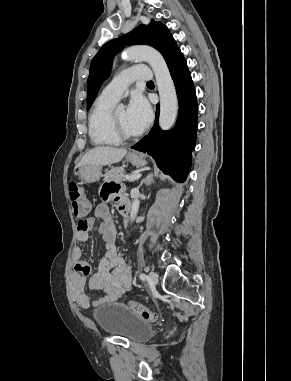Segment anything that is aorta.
<instances>
[{"label":"aorta","instance_id":"obj_1","mask_svg":"<svg viewBox=\"0 0 291 381\" xmlns=\"http://www.w3.org/2000/svg\"><path fill=\"white\" fill-rule=\"evenodd\" d=\"M122 58L128 61H145L152 68L160 96L159 126L162 130H169L178 114V100L174 82L163 56L150 46L138 45L125 49ZM139 206L140 200L135 199L131 206V221L136 218Z\"/></svg>","mask_w":291,"mask_h":381}]
</instances>
